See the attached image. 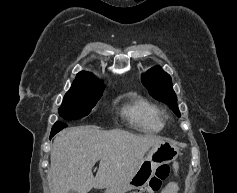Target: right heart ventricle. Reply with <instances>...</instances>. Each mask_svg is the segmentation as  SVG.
I'll return each instance as SVG.
<instances>
[{
  "mask_svg": "<svg viewBox=\"0 0 237 193\" xmlns=\"http://www.w3.org/2000/svg\"><path fill=\"white\" fill-rule=\"evenodd\" d=\"M122 114L136 129L154 133L164 128L163 112L153 103L136 93H129L122 107Z\"/></svg>",
  "mask_w": 237,
  "mask_h": 193,
  "instance_id": "right-heart-ventricle-1",
  "label": "right heart ventricle"
}]
</instances>
